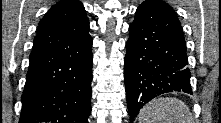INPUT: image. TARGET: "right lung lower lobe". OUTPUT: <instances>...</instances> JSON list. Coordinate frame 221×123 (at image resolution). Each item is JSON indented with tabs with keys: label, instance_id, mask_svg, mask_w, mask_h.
<instances>
[{
	"label": "right lung lower lobe",
	"instance_id": "right-lung-lower-lobe-1",
	"mask_svg": "<svg viewBox=\"0 0 221 123\" xmlns=\"http://www.w3.org/2000/svg\"><path fill=\"white\" fill-rule=\"evenodd\" d=\"M92 38L33 48L22 95L20 123H88Z\"/></svg>",
	"mask_w": 221,
	"mask_h": 123
}]
</instances>
